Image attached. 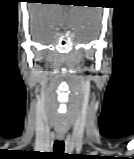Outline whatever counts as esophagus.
Instances as JSON below:
<instances>
[{
  "instance_id": "1",
  "label": "esophagus",
  "mask_w": 134,
  "mask_h": 159,
  "mask_svg": "<svg viewBox=\"0 0 134 159\" xmlns=\"http://www.w3.org/2000/svg\"><path fill=\"white\" fill-rule=\"evenodd\" d=\"M57 138H58V140H63L64 139V135L63 134H57Z\"/></svg>"
}]
</instances>
